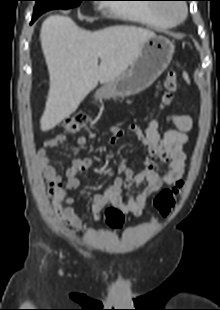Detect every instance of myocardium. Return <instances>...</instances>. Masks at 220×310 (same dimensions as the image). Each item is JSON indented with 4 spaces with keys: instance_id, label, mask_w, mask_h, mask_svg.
<instances>
[{
    "instance_id": "obj_1",
    "label": "myocardium",
    "mask_w": 220,
    "mask_h": 310,
    "mask_svg": "<svg viewBox=\"0 0 220 310\" xmlns=\"http://www.w3.org/2000/svg\"><path fill=\"white\" fill-rule=\"evenodd\" d=\"M168 7H175L177 8V13L174 15L168 14L167 13V8ZM158 14L170 21L173 24L180 23L181 21L184 20L187 14V8L184 4H165V5H160L158 8Z\"/></svg>"
}]
</instances>
